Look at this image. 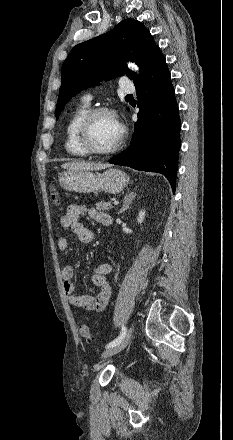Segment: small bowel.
Masks as SVG:
<instances>
[{"label":"small bowel","instance_id":"c3829d8e","mask_svg":"<svg viewBox=\"0 0 233 440\" xmlns=\"http://www.w3.org/2000/svg\"><path fill=\"white\" fill-rule=\"evenodd\" d=\"M85 216L90 217L93 221L100 224H103L104 219L110 218V216L103 211L85 204L74 203L67 207L65 214L61 217L60 224L64 230H70L76 234L82 243L89 244L94 241L95 234L80 222ZM57 246L60 251H66L69 246L67 237H60ZM111 271L112 265L110 263L105 262L99 264L91 277L93 285L99 288L98 293L95 296H79L74 294V285L72 282L74 268L72 265H66L61 271V277L63 290L69 303L87 311H102L107 306L112 293L111 287L106 279Z\"/></svg>","mask_w":233,"mask_h":440}]
</instances>
